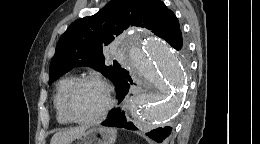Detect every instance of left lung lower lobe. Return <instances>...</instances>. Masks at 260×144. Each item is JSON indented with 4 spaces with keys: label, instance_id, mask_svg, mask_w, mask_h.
I'll list each match as a JSON object with an SVG mask.
<instances>
[{
    "label": "left lung lower lobe",
    "instance_id": "left-lung-lower-lobe-1",
    "mask_svg": "<svg viewBox=\"0 0 260 144\" xmlns=\"http://www.w3.org/2000/svg\"><path fill=\"white\" fill-rule=\"evenodd\" d=\"M176 50H181L184 42L182 38L181 30L178 31L175 36L168 42ZM132 81L128 74L125 72L120 82L116 87L118 104L122 103L126 96L129 94L130 83ZM125 104L117 109H112L108 114V119L105 120L102 125L107 127L125 128L129 130H137L138 128L130 121L127 120L124 112ZM171 133V127H161L146 133L151 139L156 142H162Z\"/></svg>",
    "mask_w": 260,
    "mask_h": 144
}]
</instances>
